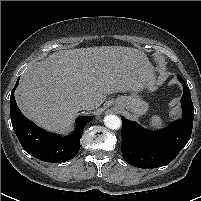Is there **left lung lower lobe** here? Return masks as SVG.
<instances>
[{
    "label": "left lung lower lobe",
    "instance_id": "0a47b994",
    "mask_svg": "<svg viewBox=\"0 0 201 201\" xmlns=\"http://www.w3.org/2000/svg\"><path fill=\"white\" fill-rule=\"evenodd\" d=\"M183 85L181 98L182 118L158 131L143 129L136 122L122 119V156L135 167L152 169L169 164L185 147L192 133L194 109L188 86Z\"/></svg>",
    "mask_w": 201,
    "mask_h": 201
}]
</instances>
